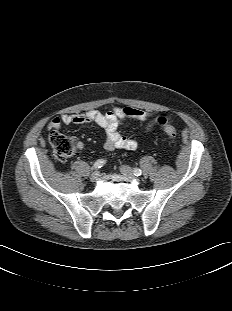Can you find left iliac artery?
I'll return each instance as SVG.
<instances>
[{"mask_svg": "<svg viewBox=\"0 0 232 311\" xmlns=\"http://www.w3.org/2000/svg\"><path fill=\"white\" fill-rule=\"evenodd\" d=\"M133 172H134V175H135V176H140V175L142 174V171H141V169H139V168H135V169L133 170Z\"/></svg>", "mask_w": 232, "mask_h": 311, "instance_id": "left-iliac-artery-1", "label": "left iliac artery"}]
</instances>
